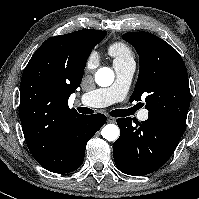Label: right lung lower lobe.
Instances as JSON below:
<instances>
[{"label": "right lung lower lobe", "mask_w": 199, "mask_h": 199, "mask_svg": "<svg viewBox=\"0 0 199 199\" xmlns=\"http://www.w3.org/2000/svg\"><path fill=\"white\" fill-rule=\"evenodd\" d=\"M103 114L79 115L72 118L61 133L44 143L26 140L35 160L53 173H68L78 169L84 160L87 142L104 125Z\"/></svg>", "instance_id": "98d812e1"}]
</instances>
